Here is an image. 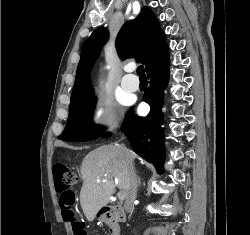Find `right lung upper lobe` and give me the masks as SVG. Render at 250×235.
I'll return each instance as SVG.
<instances>
[{"label": "right lung upper lobe", "instance_id": "right-lung-upper-lobe-1", "mask_svg": "<svg viewBox=\"0 0 250 235\" xmlns=\"http://www.w3.org/2000/svg\"><path fill=\"white\" fill-rule=\"evenodd\" d=\"M107 38V29L100 27L83 43L71 101L92 90L90 71ZM115 45L121 59L136 58L145 65V69L167 46L158 19L147 6L134 20L122 26Z\"/></svg>", "mask_w": 250, "mask_h": 235}]
</instances>
